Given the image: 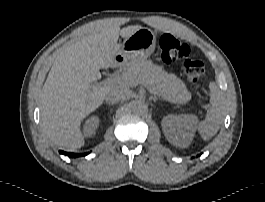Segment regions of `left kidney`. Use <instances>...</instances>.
I'll return each instance as SVG.
<instances>
[{
    "mask_svg": "<svg viewBox=\"0 0 265 202\" xmlns=\"http://www.w3.org/2000/svg\"><path fill=\"white\" fill-rule=\"evenodd\" d=\"M196 121L194 115H168L162 120V130L172 145L186 148L195 135Z\"/></svg>",
    "mask_w": 265,
    "mask_h": 202,
    "instance_id": "1",
    "label": "left kidney"
}]
</instances>
